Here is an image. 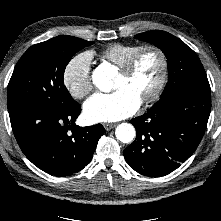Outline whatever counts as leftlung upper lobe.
Segmentation results:
<instances>
[{
  "instance_id": "left-lung-upper-lobe-1",
  "label": "left lung upper lobe",
  "mask_w": 221,
  "mask_h": 221,
  "mask_svg": "<svg viewBox=\"0 0 221 221\" xmlns=\"http://www.w3.org/2000/svg\"><path fill=\"white\" fill-rule=\"evenodd\" d=\"M135 38L156 45L167 57L169 80L160 100L169 94L186 89L211 92L201 61L183 41L160 30L140 33ZM158 103L159 101L152 108L156 107Z\"/></svg>"
}]
</instances>
